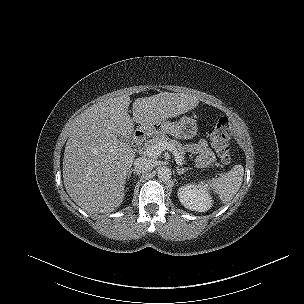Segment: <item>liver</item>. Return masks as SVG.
Wrapping results in <instances>:
<instances>
[{
	"label": "liver",
	"mask_w": 304,
	"mask_h": 304,
	"mask_svg": "<svg viewBox=\"0 0 304 304\" xmlns=\"http://www.w3.org/2000/svg\"><path fill=\"white\" fill-rule=\"evenodd\" d=\"M198 103L190 94L160 93L136 99L131 118L130 97L122 95L86 109L77 118L64 152L63 179L71 199L90 214L118 208L135 158L125 143L133 134L134 122L150 127L184 114Z\"/></svg>",
	"instance_id": "obj_1"
}]
</instances>
